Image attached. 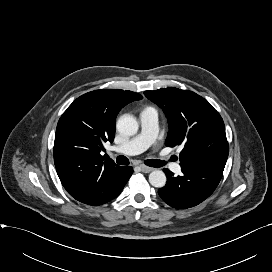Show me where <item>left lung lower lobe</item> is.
<instances>
[{"instance_id":"1","label":"left lung lower lobe","mask_w":272,"mask_h":272,"mask_svg":"<svg viewBox=\"0 0 272 272\" xmlns=\"http://www.w3.org/2000/svg\"><path fill=\"white\" fill-rule=\"evenodd\" d=\"M181 169L183 174L177 177L170 170L164 169L167 183L158 191L168 205L177 209L190 208L207 199L223 174V169L203 166H181Z\"/></svg>"}]
</instances>
